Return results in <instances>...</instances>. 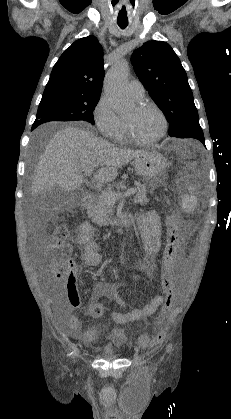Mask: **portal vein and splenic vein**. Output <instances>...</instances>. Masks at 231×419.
<instances>
[{
    "label": "portal vein and splenic vein",
    "instance_id": "portal-vein-and-splenic-vein-1",
    "mask_svg": "<svg viewBox=\"0 0 231 419\" xmlns=\"http://www.w3.org/2000/svg\"><path fill=\"white\" fill-rule=\"evenodd\" d=\"M91 174H92V169H86L84 171V175H86V176H90ZM135 192H136V190L132 188V189L127 190L124 194L115 193V192H111V191H102V195L104 197H106L109 201L114 203L116 200H118L122 197H128V196L134 195Z\"/></svg>",
    "mask_w": 231,
    "mask_h": 419
}]
</instances>
